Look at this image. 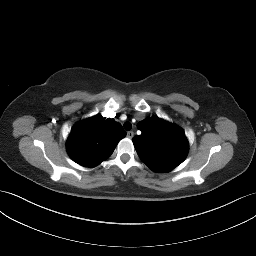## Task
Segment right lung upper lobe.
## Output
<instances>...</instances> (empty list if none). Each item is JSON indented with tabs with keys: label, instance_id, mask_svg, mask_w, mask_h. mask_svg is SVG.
<instances>
[{
	"label": "right lung upper lobe",
	"instance_id": "1",
	"mask_svg": "<svg viewBox=\"0 0 256 256\" xmlns=\"http://www.w3.org/2000/svg\"><path fill=\"white\" fill-rule=\"evenodd\" d=\"M125 136L120 123L97 114L73 126L66 143L67 152L79 165L94 167L107 159Z\"/></svg>",
	"mask_w": 256,
	"mask_h": 256
}]
</instances>
